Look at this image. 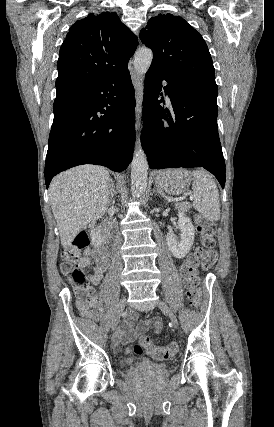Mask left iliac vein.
<instances>
[{
  "label": "left iliac vein",
  "mask_w": 274,
  "mask_h": 427,
  "mask_svg": "<svg viewBox=\"0 0 274 427\" xmlns=\"http://www.w3.org/2000/svg\"><path fill=\"white\" fill-rule=\"evenodd\" d=\"M158 307L161 311L170 318V322L174 329L178 328V319L177 316L173 313L172 309L167 306V304L163 301L158 302Z\"/></svg>",
  "instance_id": "4c4485c4"
}]
</instances>
